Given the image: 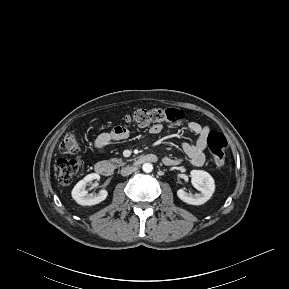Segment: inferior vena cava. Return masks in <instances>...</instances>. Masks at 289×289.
I'll return each instance as SVG.
<instances>
[{
    "label": "inferior vena cava",
    "instance_id": "obj_1",
    "mask_svg": "<svg viewBox=\"0 0 289 289\" xmlns=\"http://www.w3.org/2000/svg\"><path fill=\"white\" fill-rule=\"evenodd\" d=\"M136 170H137V167L135 166H127L121 169V175L128 176L131 173L135 172Z\"/></svg>",
    "mask_w": 289,
    "mask_h": 289
}]
</instances>
